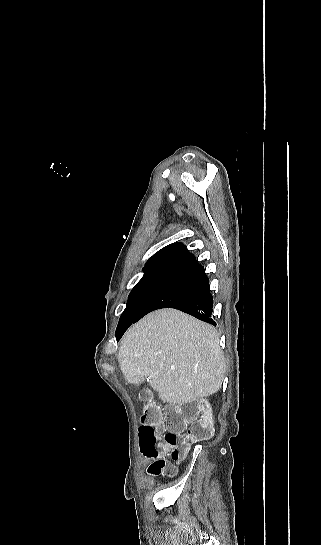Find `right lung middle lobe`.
I'll return each mask as SVG.
<instances>
[{
    "label": "right lung middle lobe",
    "instance_id": "right-lung-middle-lobe-1",
    "mask_svg": "<svg viewBox=\"0 0 321 545\" xmlns=\"http://www.w3.org/2000/svg\"><path fill=\"white\" fill-rule=\"evenodd\" d=\"M174 271L171 268L143 269L144 275L129 294L126 308L119 322L128 321L137 316L149 299Z\"/></svg>",
    "mask_w": 321,
    "mask_h": 545
}]
</instances>
